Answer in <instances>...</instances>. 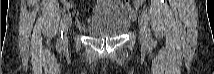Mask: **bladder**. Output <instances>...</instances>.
I'll list each match as a JSON object with an SVG mask.
<instances>
[{
    "label": "bladder",
    "instance_id": "obj_1",
    "mask_svg": "<svg viewBox=\"0 0 214 74\" xmlns=\"http://www.w3.org/2000/svg\"><path fill=\"white\" fill-rule=\"evenodd\" d=\"M130 18L121 7L109 8L97 13L86 32L94 37H116L130 27Z\"/></svg>",
    "mask_w": 214,
    "mask_h": 74
}]
</instances>
